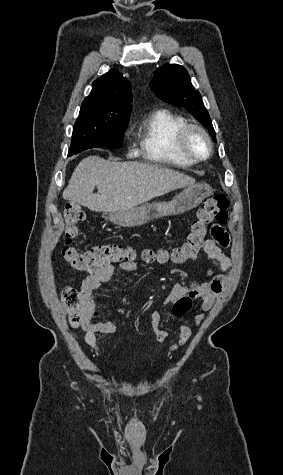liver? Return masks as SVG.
Here are the masks:
<instances>
[{"mask_svg":"<svg viewBox=\"0 0 283 475\" xmlns=\"http://www.w3.org/2000/svg\"><path fill=\"white\" fill-rule=\"evenodd\" d=\"M194 184V178L157 164L106 162L89 156L76 166L62 198L91 212H118Z\"/></svg>","mask_w":283,"mask_h":475,"instance_id":"1","label":"liver"}]
</instances>
